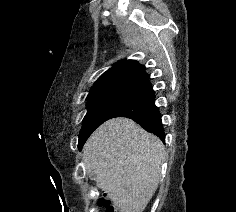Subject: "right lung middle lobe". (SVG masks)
<instances>
[{
	"label": "right lung middle lobe",
	"mask_w": 236,
	"mask_h": 212,
	"mask_svg": "<svg viewBox=\"0 0 236 212\" xmlns=\"http://www.w3.org/2000/svg\"><path fill=\"white\" fill-rule=\"evenodd\" d=\"M129 92L118 91L87 98L88 111L79 134V149L83 147L90 134L111 117L118 106L128 97Z\"/></svg>",
	"instance_id": "dd1d6c3e"
}]
</instances>
